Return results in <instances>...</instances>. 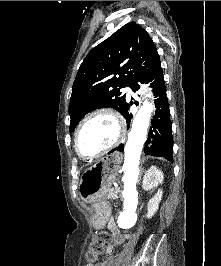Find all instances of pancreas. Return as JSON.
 I'll return each mask as SVG.
<instances>
[{
    "mask_svg": "<svg viewBox=\"0 0 221 266\" xmlns=\"http://www.w3.org/2000/svg\"><path fill=\"white\" fill-rule=\"evenodd\" d=\"M119 188L115 187V188H110L107 194V197L109 199L115 200L118 198V194H119Z\"/></svg>",
    "mask_w": 221,
    "mask_h": 266,
    "instance_id": "cf45deb5",
    "label": "pancreas"
}]
</instances>
